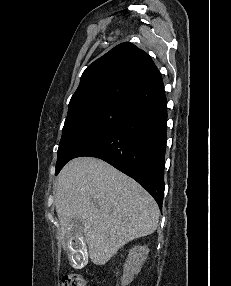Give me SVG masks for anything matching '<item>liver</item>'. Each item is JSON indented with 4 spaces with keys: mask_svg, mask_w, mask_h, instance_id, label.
Segmentation results:
<instances>
[{
    "mask_svg": "<svg viewBox=\"0 0 231 286\" xmlns=\"http://www.w3.org/2000/svg\"><path fill=\"white\" fill-rule=\"evenodd\" d=\"M63 246L73 219L82 224L91 261L103 265L129 241L152 234L160 211L135 180L103 160L80 157L61 170L55 192Z\"/></svg>",
    "mask_w": 231,
    "mask_h": 286,
    "instance_id": "liver-1",
    "label": "liver"
}]
</instances>
